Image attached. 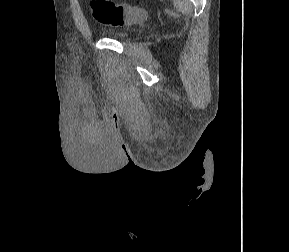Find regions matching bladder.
I'll return each mask as SVG.
<instances>
[{
	"mask_svg": "<svg viewBox=\"0 0 289 252\" xmlns=\"http://www.w3.org/2000/svg\"><path fill=\"white\" fill-rule=\"evenodd\" d=\"M107 35L121 41H126L132 37L131 32H110Z\"/></svg>",
	"mask_w": 289,
	"mask_h": 252,
	"instance_id": "31cf9c89",
	"label": "bladder"
}]
</instances>
